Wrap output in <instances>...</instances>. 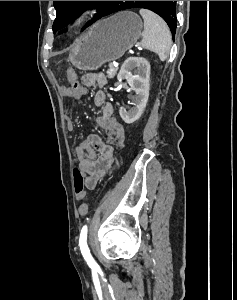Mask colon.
I'll use <instances>...</instances> for the list:
<instances>
[{"instance_id": "colon-1", "label": "colon", "mask_w": 237, "mask_h": 300, "mask_svg": "<svg viewBox=\"0 0 237 300\" xmlns=\"http://www.w3.org/2000/svg\"><path fill=\"white\" fill-rule=\"evenodd\" d=\"M72 87L77 92H82L83 90L82 84L78 82L73 83ZM73 178H74V188H75L76 196L79 200H84L86 197V193L84 191V176L78 168L74 169Z\"/></svg>"}]
</instances>
